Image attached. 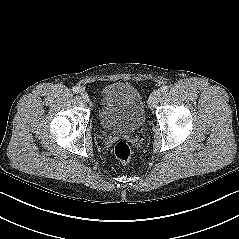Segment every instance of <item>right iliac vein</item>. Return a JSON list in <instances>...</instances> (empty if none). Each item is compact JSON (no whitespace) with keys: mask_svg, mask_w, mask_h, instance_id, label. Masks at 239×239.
Masks as SVG:
<instances>
[{"mask_svg":"<svg viewBox=\"0 0 239 239\" xmlns=\"http://www.w3.org/2000/svg\"><path fill=\"white\" fill-rule=\"evenodd\" d=\"M80 96H81V98H82V100L84 101V102H89V95H88V93L86 92V91H84V90H81L80 91Z\"/></svg>","mask_w":239,"mask_h":239,"instance_id":"63e3f726","label":"right iliac vein"}]
</instances>
